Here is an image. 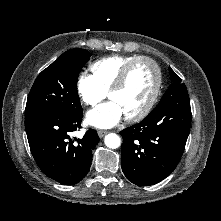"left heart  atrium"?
I'll list each match as a JSON object with an SVG mask.
<instances>
[{
	"instance_id": "39dd6f15",
	"label": "left heart atrium",
	"mask_w": 221,
	"mask_h": 221,
	"mask_svg": "<svg viewBox=\"0 0 221 221\" xmlns=\"http://www.w3.org/2000/svg\"><path fill=\"white\" fill-rule=\"evenodd\" d=\"M123 117L120 106L114 101H109L89 111L86 120L92 126L105 129L115 126Z\"/></svg>"
}]
</instances>
